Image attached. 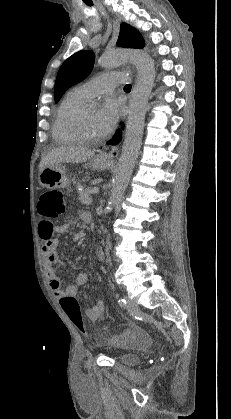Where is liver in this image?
<instances>
[{"label":"liver","instance_id":"obj_1","mask_svg":"<svg viewBox=\"0 0 231 419\" xmlns=\"http://www.w3.org/2000/svg\"><path fill=\"white\" fill-rule=\"evenodd\" d=\"M95 155L94 150H89L83 147L62 146L53 149L45 157L42 158L39 164V171L48 166H53L60 163H82L92 159Z\"/></svg>","mask_w":231,"mask_h":419}]
</instances>
